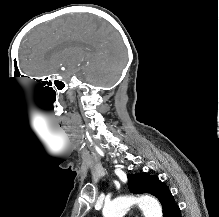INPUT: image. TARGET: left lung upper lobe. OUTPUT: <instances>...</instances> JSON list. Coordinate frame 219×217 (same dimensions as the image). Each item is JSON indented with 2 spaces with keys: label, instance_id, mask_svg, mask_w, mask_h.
<instances>
[{
  "label": "left lung upper lobe",
  "instance_id": "obj_1",
  "mask_svg": "<svg viewBox=\"0 0 219 217\" xmlns=\"http://www.w3.org/2000/svg\"><path fill=\"white\" fill-rule=\"evenodd\" d=\"M129 190L132 193H148L158 198L163 208V217L168 208L174 203L169 188L158 177L147 173L128 175Z\"/></svg>",
  "mask_w": 219,
  "mask_h": 217
}]
</instances>
